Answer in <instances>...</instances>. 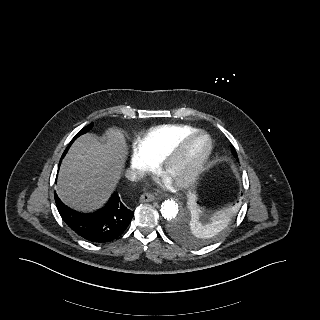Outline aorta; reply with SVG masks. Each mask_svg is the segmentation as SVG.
Wrapping results in <instances>:
<instances>
[{
	"mask_svg": "<svg viewBox=\"0 0 320 320\" xmlns=\"http://www.w3.org/2000/svg\"><path fill=\"white\" fill-rule=\"evenodd\" d=\"M178 204L174 200H165L161 205V214L167 220L174 219L178 214ZM190 217V213L187 212L185 221L187 222Z\"/></svg>",
	"mask_w": 320,
	"mask_h": 320,
	"instance_id": "1",
	"label": "aorta"
}]
</instances>
